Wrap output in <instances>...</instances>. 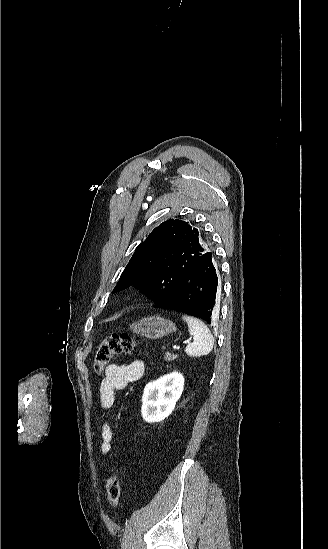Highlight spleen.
I'll use <instances>...</instances> for the list:
<instances>
[{
    "label": "spleen",
    "instance_id": "1",
    "mask_svg": "<svg viewBox=\"0 0 328 549\" xmlns=\"http://www.w3.org/2000/svg\"><path fill=\"white\" fill-rule=\"evenodd\" d=\"M183 321H186L188 325V331L190 335H193V343H189L185 349V353L189 357H203V355H209L213 349L214 339L211 335L210 329L207 325H204L200 319L195 317H188V315H182Z\"/></svg>",
    "mask_w": 328,
    "mask_h": 549
}]
</instances>
